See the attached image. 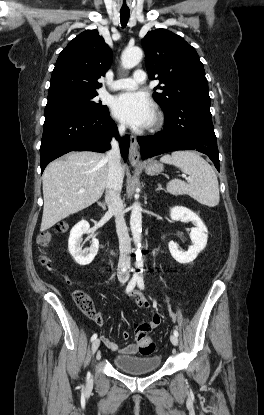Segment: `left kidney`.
<instances>
[{
	"instance_id": "obj_1",
	"label": "left kidney",
	"mask_w": 264,
	"mask_h": 415,
	"mask_svg": "<svg viewBox=\"0 0 264 415\" xmlns=\"http://www.w3.org/2000/svg\"><path fill=\"white\" fill-rule=\"evenodd\" d=\"M170 217L174 221L192 222L195 226L190 233L193 245L189 246L187 251L179 250L177 243L174 241H170L168 244L171 256L181 264H188L194 261L198 254L205 248L208 239V230L200 217L186 207L175 206L171 208Z\"/></svg>"
}]
</instances>
